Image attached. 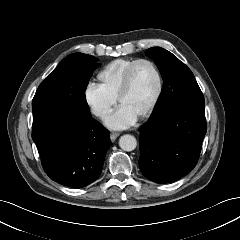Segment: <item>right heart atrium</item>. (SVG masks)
Instances as JSON below:
<instances>
[{
    "label": "right heart atrium",
    "instance_id": "d8ad5b80",
    "mask_svg": "<svg viewBox=\"0 0 240 240\" xmlns=\"http://www.w3.org/2000/svg\"><path fill=\"white\" fill-rule=\"evenodd\" d=\"M84 98L91 111L100 119H105L116 104V98L111 97L95 83L86 86Z\"/></svg>",
    "mask_w": 240,
    "mask_h": 240
}]
</instances>
